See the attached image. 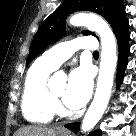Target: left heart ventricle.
<instances>
[{"label": "left heart ventricle", "instance_id": "obj_1", "mask_svg": "<svg viewBox=\"0 0 136 136\" xmlns=\"http://www.w3.org/2000/svg\"><path fill=\"white\" fill-rule=\"evenodd\" d=\"M65 86H60L58 88L53 89V93L57 96L61 97L64 94Z\"/></svg>", "mask_w": 136, "mask_h": 136}]
</instances>
